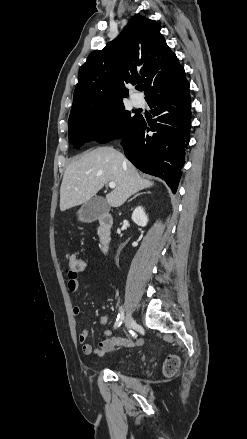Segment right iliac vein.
<instances>
[{
	"label": "right iliac vein",
	"mask_w": 247,
	"mask_h": 439,
	"mask_svg": "<svg viewBox=\"0 0 247 439\" xmlns=\"http://www.w3.org/2000/svg\"><path fill=\"white\" fill-rule=\"evenodd\" d=\"M134 323L133 317L130 312L127 313L126 319H125V326L126 328H130Z\"/></svg>",
	"instance_id": "right-iliac-vein-1"
}]
</instances>
